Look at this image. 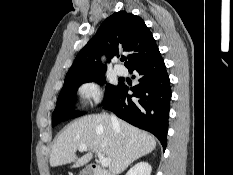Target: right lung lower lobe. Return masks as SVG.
I'll return each instance as SVG.
<instances>
[{"label": "right lung lower lobe", "mask_w": 233, "mask_h": 175, "mask_svg": "<svg viewBox=\"0 0 233 175\" xmlns=\"http://www.w3.org/2000/svg\"><path fill=\"white\" fill-rule=\"evenodd\" d=\"M138 72L139 84L131 88L120 84L119 89L105 103L104 109L114 112L128 123L154 134L163 149L167 145L170 111V80L160 52L129 68ZM133 97V98H132Z\"/></svg>", "instance_id": "98d812e1"}]
</instances>
